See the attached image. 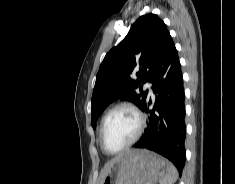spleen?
Returning <instances> with one entry per match:
<instances>
[{"label":"spleen","mask_w":235,"mask_h":184,"mask_svg":"<svg viewBox=\"0 0 235 184\" xmlns=\"http://www.w3.org/2000/svg\"><path fill=\"white\" fill-rule=\"evenodd\" d=\"M178 178V172L171 164V162H168L167 160V166H166V174L162 180H160V184H175L176 180Z\"/></svg>","instance_id":"obj_1"}]
</instances>
